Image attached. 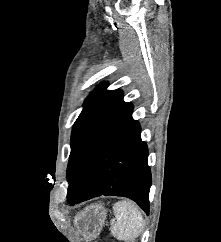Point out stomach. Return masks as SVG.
Returning <instances> with one entry per match:
<instances>
[{
  "label": "stomach",
  "instance_id": "1",
  "mask_svg": "<svg viewBox=\"0 0 221 242\" xmlns=\"http://www.w3.org/2000/svg\"><path fill=\"white\" fill-rule=\"evenodd\" d=\"M107 211L99 204L87 206L75 217V226L88 242L95 239L105 223Z\"/></svg>",
  "mask_w": 221,
  "mask_h": 242
}]
</instances>
